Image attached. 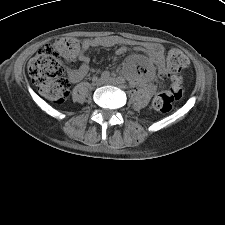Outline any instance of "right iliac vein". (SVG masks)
I'll return each mask as SVG.
<instances>
[{
    "label": "right iliac vein",
    "mask_w": 225,
    "mask_h": 225,
    "mask_svg": "<svg viewBox=\"0 0 225 225\" xmlns=\"http://www.w3.org/2000/svg\"><path fill=\"white\" fill-rule=\"evenodd\" d=\"M104 83H105V80H104L103 78H99V79H97V81H96V84H97L98 86L103 85Z\"/></svg>",
    "instance_id": "right-iliac-vein-1"
}]
</instances>
